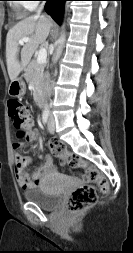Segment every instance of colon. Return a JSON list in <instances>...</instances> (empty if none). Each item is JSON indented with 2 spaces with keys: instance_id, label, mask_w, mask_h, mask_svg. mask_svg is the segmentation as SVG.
I'll return each mask as SVG.
<instances>
[{
  "instance_id": "colon-1",
  "label": "colon",
  "mask_w": 133,
  "mask_h": 253,
  "mask_svg": "<svg viewBox=\"0 0 133 253\" xmlns=\"http://www.w3.org/2000/svg\"><path fill=\"white\" fill-rule=\"evenodd\" d=\"M7 110L13 126L17 129V136L25 138L29 133L30 113L28 108L16 99L7 101ZM51 151L63 159L64 163L70 167H85L86 164L81 158L66 150L65 145L58 141L52 140L49 143ZM88 177L96 183L98 187L106 192L109 188L107 179L94 168H88ZM97 201L96 189L93 185H83L73 191L66 201V208L70 212L83 211L92 207Z\"/></svg>"
}]
</instances>
